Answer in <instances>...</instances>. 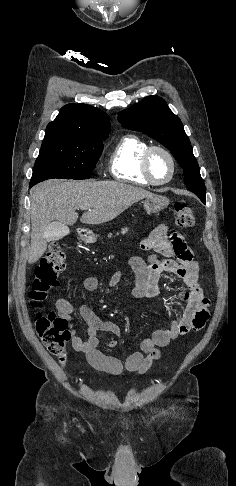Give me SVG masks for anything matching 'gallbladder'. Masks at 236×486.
I'll return each mask as SVG.
<instances>
[{
    "label": "gallbladder",
    "instance_id": "1",
    "mask_svg": "<svg viewBox=\"0 0 236 486\" xmlns=\"http://www.w3.org/2000/svg\"><path fill=\"white\" fill-rule=\"evenodd\" d=\"M66 226L58 221L51 222L48 227L50 241L61 239L65 235Z\"/></svg>",
    "mask_w": 236,
    "mask_h": 486
}]
</instances>
